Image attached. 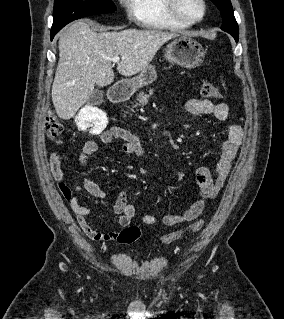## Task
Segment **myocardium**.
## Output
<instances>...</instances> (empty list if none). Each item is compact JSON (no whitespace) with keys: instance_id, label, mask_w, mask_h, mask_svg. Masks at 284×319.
I'll list each match as a JSON object with an SVG mask.
<instances>
[{"instance_id":"1","label":"myocardium","mask_w":284,"mask_h":319,"mask_svg":"<svg viewBox=\"0 0 284 319\" xmlns=\"http://www.w3.org/2000/svg\"><path fill=\"white\" fill-rule=\"evenodd\" d=\"M203 6V12L200 18L195 20H189L185 18L179 11L178 0H166V7L169 14L177 21L186 24L188 26L197 24L204 20L207 14L208 6L206 0H200Z\"/></svg>"}]
</instances>
